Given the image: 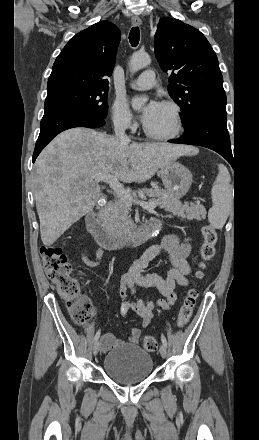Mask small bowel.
<instances>
[{
	"instance_id": "c3829d8e",
	"label": "small bowel",
	"mask_w": 259,
	"mask_h": 440,
	"mask_svg": "<svg viewBox=\"0 0 259 440\" xmlns=\"http://www.w3.org/2000/svg\"><path fill=\"white\" fill-rule=\"evenodd\" d=\"M157 220L161 225L160 220ZM191 251L192 245L190 239H181L174 233L166 234L161 244L148 248L121 278V313L123 315L134 314L140 319L141 326L146 328L151 322L155 309H169L173 306L179 295L176 287L189 285V275L191 274L189 258ZM81 257L85 265L89 267L96 266L102 257L101 245H99L94 259L89 258L85 252L82 253ZM158 257L165 258L170 264V269L166 276L162 277L158 274L142 275L141 271ZM136 286L155 287L164 296V299H160L156 302L144 301L138 297ZM140 336L141 329L137 327L132 328L126 342L131 345H136ZM124 343L125 341L117 339L112 333H104L101 338V350L107 352Z\"/></svg>"
}]
</instances>
